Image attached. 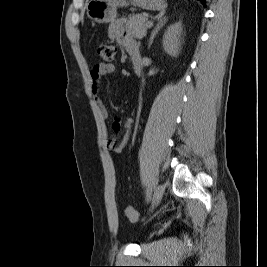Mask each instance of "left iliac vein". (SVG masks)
Here are the masks:
<instances>
[{
    "instance_id": "1",
    "label": "left iliac vein",
    "mask_w": 267,
    "mask_h": 267,
    "mask_svg": "<svg viewBox=\"0 0 267 267\" xmlns=\"http://www.w3.org/2000/svg\"><path fill=\"white\" fill-rule=\"evenodd\" d=\"M165 186L163 184H159L154 191L153 199H152V206L158 205L161 201L163 194H164Z\"/></svg>"
}]
</instances>
